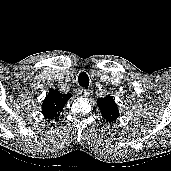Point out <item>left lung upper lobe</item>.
<instances>
[{
	"label": "left lung upper lobe",
	"mask_w": 171,
	"mask_h": 171,
	"mask_svg": "<svg viewBox=\"0 0 171 171\" xmlns=\"http://www.w3.org/2000/svg\"><path fill=\"white\" fill-rule=\"evenodd\" d=\"M98 106L101 114L109 122L115 121L119 117L117 104L111 96L98 99Z\"/></svg>",
	"instance_id": "obj_1"
}]
</instances>
